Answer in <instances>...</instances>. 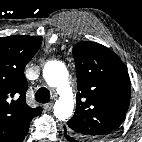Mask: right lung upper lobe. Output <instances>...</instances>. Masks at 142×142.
<instances>
[{"label":"right lung upper lobe","mask_w":142,"mask_h":142,"mask_svg":"<svg viewBox=\"0 0 142 142\" xmlns=\"http://www.w3.org/2000/svg\"><path fill=\"white\" fill-rule=\"evenodd\" d=\"M38 36L0 37V142H22L42 109L26 104V64L39 49Z\"/></svg>","instance_id":"obj_1"}]
</instances>
